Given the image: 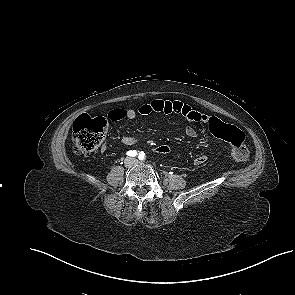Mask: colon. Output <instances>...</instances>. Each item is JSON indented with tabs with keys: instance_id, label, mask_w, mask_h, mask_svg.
<instances>
[{
	"instance_id": "obj_1",
	"label": "colon",
	"mask_w": 295,
	"mask_h": 295,
	"mask_svg": "<svg viewBox=\"0 0 295 295\" xmlns=\"http://www.w3.org/2000/svg\"><path fill=\"white\" fill-rule=\"evenodd\" d=\"M107 121L104 117L79 116L73 123V142L75 151L87 154L94 151L103 141ZM215 134L232 145L231 158L236 163H245L249 158V152L244 145V133L233 125L213 122ZM170 151L169 146L161 145L156 152L165 154Z\"/></svg>"
}]
</instances>
